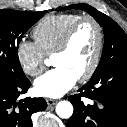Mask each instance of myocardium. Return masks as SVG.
Wrapping results in <instances>:
<instances>
[{
  "mask_svg": "<svg viewBox=\"0 0 127 127\" xmlns=\"http://www.w3.org/2000/svg\"><path fill=\"white\" fill-rule=\"evenodd\" d=\"M85 22H90L94 25L96 32H97V45H96V49H95L92 61L89 65L88 69L81 76H79L77 78L80 82L89 80L95 73V71L100 63V59H101V55H102V51H103V46H104V33H103V28H102V25L100 24V22L92 16L80 17L67 30V32L63 36L60 44L58 45V47L55 49V51L52 54L54 57L56 55H62L64 53H66L70 47V44L72 42V39H73L75 33L77 32L79 27Z\"/></svg>",
  "mask_w": 127,
  "mask_h": 127,
  "instance_id": "1",
  "label": "myocardium"
}]
</instances>
